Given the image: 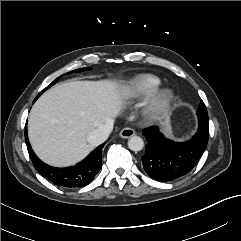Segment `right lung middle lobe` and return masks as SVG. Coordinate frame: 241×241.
<instances>
[{"label": "right lung middle lobe", "instance_id": "right-lung-middle-lobe-1", "mask_svg": "<svg viewBox=\"0 0 241 241\" xmlns=\"http://www.w3.org/2000/svg\"><path fill=\"white\" fill-rule=\"evenodd\" d=\"M91 68L90 67H86V68H81V69H77V70H74L72 71V73L74 72H81V71H85V70H90ZM60 77L56 78L49 86H47L43 91H45L47 88L51 87L52 85H54L58 80H59ZM42 94V92L36 97L38 98L40 95Z\"/></svg>", "mask_w": 241, "mask_h": 241}]
</instances>
